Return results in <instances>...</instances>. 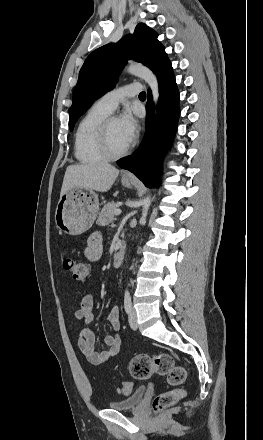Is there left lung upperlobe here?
<instances>
[{"mask_svg":"<svg viewBox=\"0 0 263 440\" xmlns=\"http://www.w3.org/2000/svg\"><path fill=\"white\" fill-rule=\"evenodd\" d=\"M157 36L153 29L140 23L133 35L123 37L116 44L104 45L87 57L73 92L69 117L71 131L77 119L93 101L115 86L117 75L127 59L133 58L154 73L156 69L170 62Z\"/></svg>","mask_w":263,"mask_h":440,"instance_id":"left-lung-upper-lobe-1","label":"left lung upper lobe"}]
</instances>
